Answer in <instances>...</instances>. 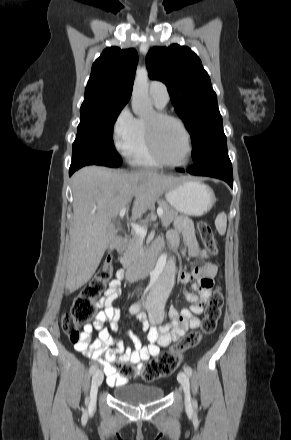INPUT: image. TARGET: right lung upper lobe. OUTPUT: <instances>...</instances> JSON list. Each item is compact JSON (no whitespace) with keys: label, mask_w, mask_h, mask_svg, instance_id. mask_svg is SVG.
<instances>
[{"label":"right lung upper lobe","mask_w":291,"mask_h":440,"mask_svg":"<svg viewBox=\"0 0 291 440\" xmlns=\"http://www.w3.org/2000/svg\"><path fill=\"white\" fill-rule=\"evenodd\" d=\"M138 55L135 49L106 48L93 63L83 104H126L132 93Z\"/></svg>","instance_id":"cb5924a9"}]
</instances>
